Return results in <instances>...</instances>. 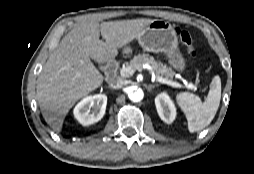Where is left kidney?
<instances>
[{
    "label": "left kidney",
    "mask_w": 254,
    "mask_h": 174,
    "mask_svg": "<svg viewBox=\"0 0 254 174\" xmlns=\"http://www.w3.org/2000/svg\"><path fill=\"white\" fill-rule=\"evenodd\" d=\"M155 105L159 117L170 124L176 118V107L167 93H160L155 98Z\"/></svg>",
    "instance_id": "left-kidney-1"
}]
</instances>
